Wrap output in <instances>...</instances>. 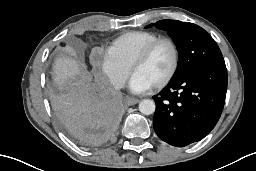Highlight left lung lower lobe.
Masks as SVG:
<instances>
[{
  "label": "left lung lower lobe",
  "mask_w": 256,
  "mask_h": 171,
  "mask_svg": "<svg viewBox=\"0 0 256 171\" xmlns=\"http://www.w3.org/2000/svg\"><path fill=\"white\" fill-rule=\"evenodd\" d=\"M227 90L225 65L192 69L153 97V127L160 139L184 147L203 139L222 113Z\"/></svg>",
  "instance_id": "left-lung-lower-lobe-1"
}]
</instances>
